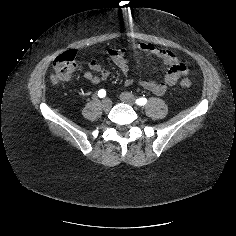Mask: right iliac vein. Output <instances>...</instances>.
I'll list each match as a JSON object with an SVG mask.
<instances>
[{"label":"right iliac vein","instance_id":"obj_1","mask_svg":"<svg viewBox=\"0 0 236 236\" xmlns=\"http://www.w3.org/2000/svg\"><path fill=\"white\" fill-rule=\"evenodd\" d=\"M101 106L104 110H109L112 107V101L109 98H105L102 100Z\"/></svg>","mask_w":236,"mask_h":236}]
</instances>
